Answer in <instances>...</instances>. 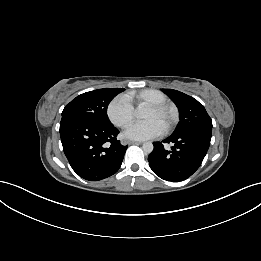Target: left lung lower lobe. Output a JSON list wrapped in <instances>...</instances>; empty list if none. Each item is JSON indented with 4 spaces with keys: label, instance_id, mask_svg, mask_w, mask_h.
<instances>
[{
    "label": "left lung lower lobe",
    "instance_id": "1",
    "mask_svg": "<svg viewBox=\"0 0 261 261\" xmlns=\"http://www.w3.org/2000/svg\"><path fill=\"white\" fill-rule=\"evenodd\" d=\"M212 128L199 127L173 133L162 142H154L148 156L152 171L168 181H182L201 165L210 145ZM164 143L172 144L170 149Z\"/></svg>",
    "mask_w": 261,
    "mask_h": 261
}]
</instances>
